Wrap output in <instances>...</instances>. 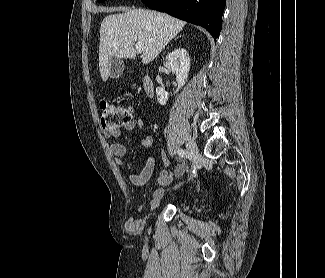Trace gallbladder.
<instances>
[{
	"instance_id": "1",
	"label": "gallbladder",
	"mask_w": 325,
	"mask_h": 278,
	"mask_svg": "<svg viewBox=\"0 0 325 278\" xmlns=\"http://www.w3.org/2000/svg\"><path fill=\"white\" fill-rule=\"evenodd\" d=\"M110 77L111 78H117L119 77L123 70H124V64L123 61L117 57H112L110 59Z\"/></svg>"
}]
</instances>
